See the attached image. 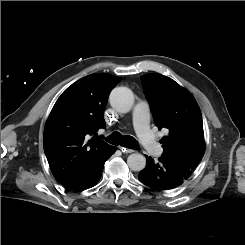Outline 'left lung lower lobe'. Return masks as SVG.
<instances>
[{
    "label": "left lung lower lobe",
    "mask_w": 245,
    "mask_h": 245,
    "mask_svg": "<svg viewBox=\"0 0 245 245\" xmlns=\"http://www.w3.org/2000/svg\"><path fill=\"white\" fill-rule=\"evenodd\" d=\"M146 167L138 179L146 186L160 190H172L182 185L193 173L191 169L161 156L158 161L146 156Z\"/></svg>",
    "instance_id": "0a47b994"
}]
</instances>
